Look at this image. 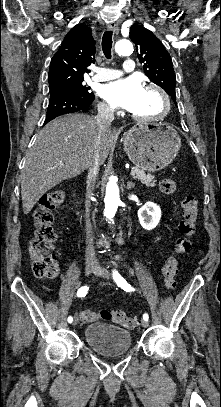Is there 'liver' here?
<instances>
[{
    "mask_svg": "<svg viewBox=\"0 0 221 407\" xmlns=\"http://www.w3.org/2000/svg\"><path fill=\"white\" fill-rule=\"evenodd\" d=\"M98 136L96 119L84 113L68 114L49 122L38 133L21 173L24 214L51 188L88 168ZM117 136L108 129L99 148L103 164Z\"/></svg>",
    "mask_w": 221,
    "mask_h": 407,
    "instance_id": "liver-1",
    "label": "liver"
}]
</instances>
